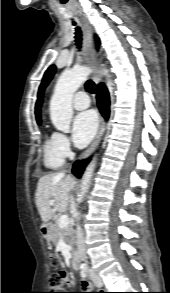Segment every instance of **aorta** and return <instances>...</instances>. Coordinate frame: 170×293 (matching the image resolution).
<instances>
[{
	"label": "aorta",
	"mask_w": 170,
	"mask_h": 293,
	"mask_svg": "<svg viewBox=\"0 0 170 293\" xmlns=\"http://www.w3.org/2000/svg\"><path fill=\"white\" fill-rule=\"evenodd\" d=\"M91 69L88 67H79L64 72L58 79L50 101V118L58 131L69 133L70 124L73 116L72 97L77 89L85 82ZM102 74L106 75L107 71ZM96 165V158L86 168L81 182L80 199H82L91 183L93 172Z\"/></svg>",
	"instance_id": "aorta-1"
}]
</instances>
